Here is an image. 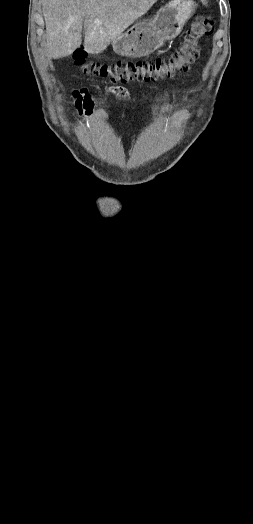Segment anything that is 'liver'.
<instances>
[{"label":"liver","mask_w":253,"mask_h":524,"mask_svg":"<svg viewBox=\"0 0 253 524\" xmlns=\"http://www.w3.org/2000/svg\"><path fill=\"white\" fill-rule=\"evenodd\" d=\"M157 0H43L45 50L50 58L71 55L82 42L91 54L107 45L143 16Z\"/></svg>","instance_id":"1"}]
</instances>
